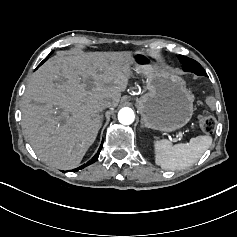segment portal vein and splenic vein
I'll use <instances>...</instances> for the list:
<instances>
[{"mask_svg":"<svg viewBox=\"0 0 237 237\" xmlns=\"http://www.w3.org/2000/svg\"><path fill=\"white\" fill-rule=\"evenodd\" d=\"M178 133H179L180 139H183V136H182V135H183V134H182L183 132L180 130Z\"/></svg>","mask_w":237,"mask_h":237,"instance_id":"1","label":"portal vein and splenic vein"}]
</instances>
